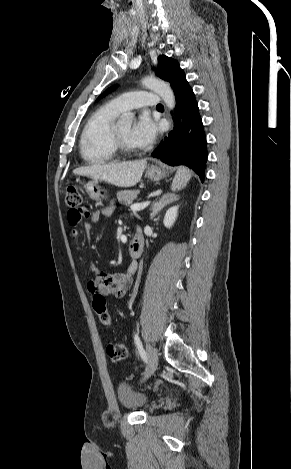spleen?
<instances>
[{
	"label": "spleen",
	"mask_w": 291,
	"mask_h": 469,
	"mask_svg": "<svg viewBox=\"0 0 291 469\" xmlns=\"http://www.w3.org/2000/svg\"><path fill=\"white\" fill-rule=\"evenodd\" d=\"M190 178L191 171L184 166L179 167L172 182V190L176 191L184 188L189 182Z\"/></svg>",
	"instance_id": "obj_1"
}]
</instances>
